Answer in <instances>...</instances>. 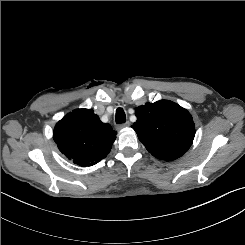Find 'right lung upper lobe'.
Listing matches in <instances>:
<instances>
[{"mask_svg":"<svg viewBox=\"0 0 245 245\" xmlns=\"http://www.w3.org/2000/svg\"><path fill=\"white\" fill-rule=\"evenodd\" d=\"M116 132L102 123L92 109H76L60 120L53 131L59 150L82 167L92 166L110 152Z\"/></svg>","mask_w":245,"mask_h":245,"instance_id":"cb5924a9","label":"right lung upper lobe"}]
</instances>
